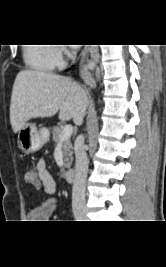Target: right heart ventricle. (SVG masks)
I'll return each instance as SVG.
<instances>
[{"label": "right heart ventricle", "mask_w": 166, "mask_h": 267, "mask_svg": "<svg viewBox=\"0 0 166 267\" xmlns=\"http://www.w3.org/2000/svg\"><path fill=\"white\" fill-rule=\"evenodd\" d=\"M23 59L28 68L40 72H50L62 63L55 48L42 43L26 44Z\"/></svg>", "instance_id": "obj_1"}]
</instances>
